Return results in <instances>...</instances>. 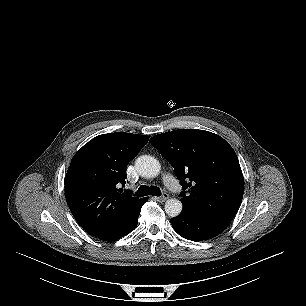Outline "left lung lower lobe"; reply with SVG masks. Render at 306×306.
Listing matches in <instances>:
<instances>
[{
	"instance_id": "1",
	"label": "left lung lower lobe",
	"mask_w": 306,
	"mask_h": 306,
	"mask_svg": "<svg viewBox=\"0 0 306 306\" xmlns=\"http://www.w3.org/2000/svg\"><path fill=\"white\" fill-rule=\"evenodd\" d=\"M230 222L227 218L198 214L187 209L171 219L173 229L183 238L192 241L211 239L223 232Z\"/></svg>"
}]
</instances>
